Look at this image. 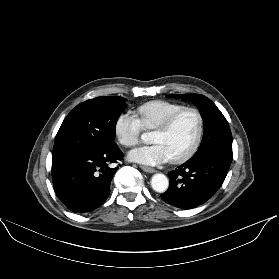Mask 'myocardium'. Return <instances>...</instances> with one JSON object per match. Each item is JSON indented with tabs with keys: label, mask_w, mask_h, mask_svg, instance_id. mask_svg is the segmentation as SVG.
Returning a JSON list of instances; mask_svg holds the SVG:
<instances>
[{
	"label": "myocardium",
	"mask_w": 279,
	"mask_h": 279,
	"mask_svg": "<svg viewBox=\"0 0 279 279\" xmlns=\"http://www.w3.org/2000/svg\"><path fill=\"white\" fill-rule=\"evenodd\" d=\"M185 112H192L195 114L196 118H197V132L195 135V138L192 142V144L190 145V147L183 152L180 155H177L175 157L170 158V160L172 162H182L185 161L186 159L190 158L195 151L197 150L200 142H201V138H202V134H203V129H204V121H203V117L200 113V111L194 107H183L177 111H175L174 113H172L171 115H169L160 125H158L154 130L160 133H164L167 132L171 126L173 125L174 121L183 113Z\"/></svg>",
	"instance_id": "1"
}]
</instances>
